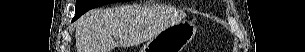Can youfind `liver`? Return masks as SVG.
I'll list each match as a JSON object with an SVG mask.
<instances>
[{
	"mask_svg": "<svg viewBox=\"0 0 305 52\" xmlns=\"http://www.w3.org/2000/svg\"><path fill=\"white\" fill-rule=\"evenodd\" d=\"M183 15L180 13L177 17L181 18ZM177 17L171 21H178ZM172 24L174 23L164 28ZM164 28L152 27L151 30L146 10L138 6L93 10L77 23V52H111L117 46H129L150 40Z\"/></svg>",
	"mask_w": 305,
	"mask_h": 52,
	"instance_id": "6515ba94",
	"label": "liver"
}]
</instances>
